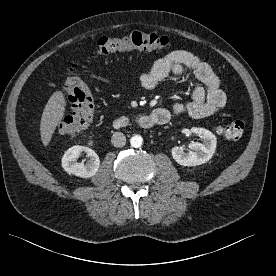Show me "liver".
Listing matches in <instances>:
<instances>
[{"instance_id":"obj_1","label":"liver","mask_w":276,"mask_h":276,"mask_svg":"<svg viewBox=\"0 0 276 276\" xmlns=\"http://www.w3.org/2000/svg\"><path fill=\"white\" fill-rule=\"evenodd\" d=\"M66 99L62 91H55L42 113L40 135L43 145H49L56 127L65 114Z\"/></svg>"}]
</instances>
